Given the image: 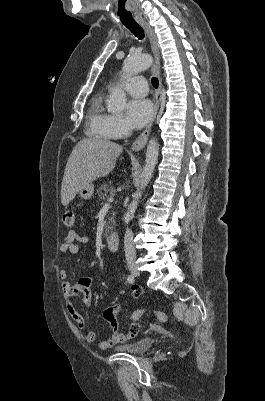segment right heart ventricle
Returning a JSON list of instances; mask_svg holds the SVG:
<instances>
[{"label":"right heart ventricle","mask_w":265,"mask_h":401,"mask_svg":"<svg viewBox=\"0 0 265 401\" xmlns=\"http://www.w3.org/2000/svg\"><path fill=\"white\" fill-rule=\"evenodd\" d=\"M87 114L89 116V130L98 138L106 142L120 139L115 137L109 129V113L105 106V95L103 93H94L88 103Z\"/></svg>","instance_id":"1"}]
</instances>
